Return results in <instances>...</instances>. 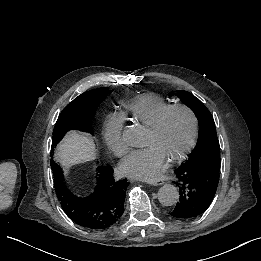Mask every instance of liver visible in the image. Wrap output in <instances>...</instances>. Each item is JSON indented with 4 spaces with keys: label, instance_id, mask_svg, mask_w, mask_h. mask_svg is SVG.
<instances>
[{
    "label": "liver",
    "instance_id": "liver-1",
    "mask_svg": "<svg viewBox=\"0 0 261 261\" xmlns=\"http://www.w3.org/2000/svg\"><path fill=\"white\" fill-rule=\"evenodd\" d=\"M96 155L95 144L92 138L71 132L59 145L56 156L60 160H67L70 157H83L93 159Z\"/></svg>",
    "mask_w": 261,
    "mask_h": 261
}]
</instances>
